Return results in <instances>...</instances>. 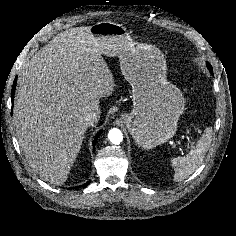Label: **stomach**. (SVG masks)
I'll use <instances>...</instances> for the list:
<instances>
[{"instance_id":"obj_1","label":"stomach","mask_w":236,"mask_h":236,"mask_svg":"<svg viewBox=\"0 0 236 236\" xmlns=\"http://www.w3.org/2000/svg\"><path fill=\"white\" fill-rule=\"evenodd\" d=\"M90 33L102 55L119 57L121 72L132 86L133 109L120 118L136 144L151 149L171 139L185 100L179 88L167 81L162 52L135 41L115 22H98L90 27Z\"/></svg>"}]
</instances>
